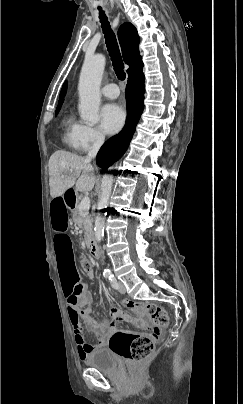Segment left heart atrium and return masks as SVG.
I'll use <instances>...</instances> for the list:
<instances>
[{
    "label": "left heart atrium",
    "instance_id": "left-heart-atrium-1",
    "mask_svg": "<svg viewBox=\"0 0 243 404\" xmlns=\"http://www.w3.org/2000/svg\"><path fill=\"white\" fill-rule=\"evenodd\" d=\"M125 121V112L122 107L109 102L100 110V129L105 134H114L121 129Z\"/></svg>",
    "mask_w": 243,
    "mask_h": 404
}]
</instances>
